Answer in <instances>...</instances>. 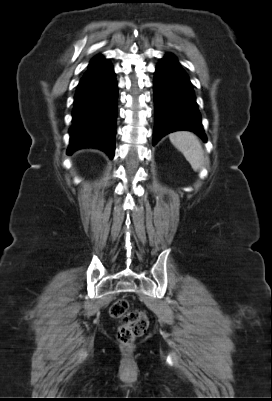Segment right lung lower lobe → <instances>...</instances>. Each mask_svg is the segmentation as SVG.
Masks as SVG:
<instances>
[{"label": "right lung lower lobe", "instance_id": "right-lung-lower-lobe-1", "mask_svg": "<svg viewBox=\"0 0 272 401\" xmlns=\"http://www.w3.org/2000/svg\"><path fill=\"white\" fill-rule=\"evenodd\" d=\"M117 95L112 65L101 55L96 56L76 90L67 154L93 147L103 150L111 159L114 157Z\"/></svg>", "mask_w": 272, "mask_h": 401}]
</instances>
